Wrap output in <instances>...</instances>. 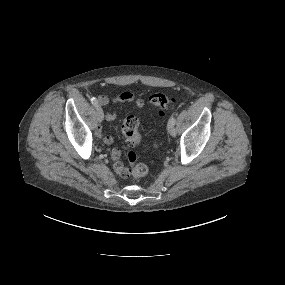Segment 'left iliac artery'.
<instances>
[{
	"label": "left iliac artery",
	"instance_id": "obj_1",
	"mask_svg": "<svg viewBox=\"0 0 285 285\" xmlns=\"http://www.w3.org/2000/svg\"><path fill=\"white\" fill-rule=\"evenodd\" d=\"M175 122H176V119L173 116L168 121V123H171V124H175Z\"/></svg>",
	"mask_w": 285,
	"mask_h": 285
}]
</instances>
